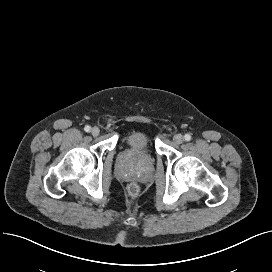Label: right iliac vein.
Returning a JSON list of instances; mask_svg holds the SVG:
<instances>
[{
	"instance_id": "obj_1",
	"label": "right iliac vein",
	"mask_w": 272,
	"mask_h": 272,
	"mask_svg": "<svg viewBox=\"0 0 272 272\" xmlns=\"http://www.w3.org/2000/svg\"><path fill=\"white\" fill-rule=\"evenodd\" d=\"M100 133V129L98 127H93L92 130H91V134L93 136H98Z\"/></svg>"
}]
</instances>
